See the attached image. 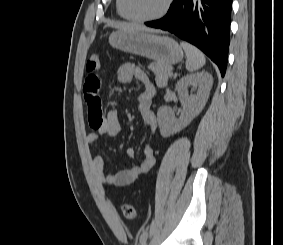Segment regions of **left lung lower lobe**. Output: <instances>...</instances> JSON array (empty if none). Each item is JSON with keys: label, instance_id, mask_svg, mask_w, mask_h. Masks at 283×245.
<instances>
[{"label": "left lung lower lobe", "instance_id": "obj_1", "mask_svg": "<svg viewBox=\"0 0 283 245\" xmlns=\"http://www.w3.org/2000/svg\"><path fill=\"white\" fill-rule=\"evenodd\" d=\"M232 0H174L165 17L145 25L167 30L201 49L225 75Z\"/></svg>", "mask_w": 283, "mask_h": 245}]
</instances>
